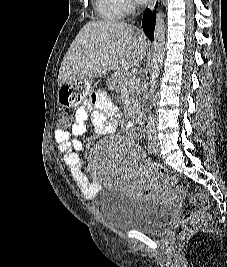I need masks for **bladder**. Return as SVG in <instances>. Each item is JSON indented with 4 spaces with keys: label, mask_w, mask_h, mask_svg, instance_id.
<instances>
[{
    "label": "bladder",
    "mask_w": 227,
    "mask_h": 267,
    "mask_svg": "<svg viewBox=\"0 0 227 267\" xmlns=\"http://www.w3.org/2000/svg\"><path fill=\"white\" fill-rule=\"evenodd\" d=\"M105 222L121 231L137 230L157 234L174 218V211L155 200H137L115 188H105L100 196Z\"/></svg>",
    "instance_id": "obj_1"
}]
</instances>
